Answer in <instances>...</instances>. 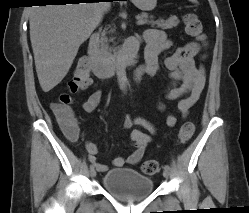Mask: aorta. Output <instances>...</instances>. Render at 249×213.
Masks as SVG:
<instances>
[{"label": "aorta", "instance_id": "762f6f07", "mask_svg": "<svg viewBox=\"0 0 249 213\" xmlns=\"http://www.w3.org/2000/svg\"><path fill=\"white\" fill-rule=\"evenodd\" d=\"M117 79L119 87L122 91H126L128 81H127V74H126V65L125 61L122 57H119L117 60Z\"/></svg>", "mask_w": 249, "mask_h": 213}]
</instances>
